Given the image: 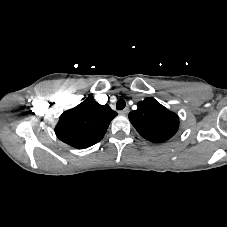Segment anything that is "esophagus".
<instances>
[{
	"mask_svg": "<svg viewBox=\"0 0 227 227\" xmlns=\"http://www.w3.org/2000/svg\"><path fill=\"white\" fill-rule=\"evenodd\" d=\"M128 112H129V108L126 107V108H124L123 110L119 111V114H121V115H127Z\"/></svg>",
	"mask_w": 227,
	"mask_h": 227,
	"instance_id": "esophagus-1",
	"label": "esophagus"
}]
</instances>
